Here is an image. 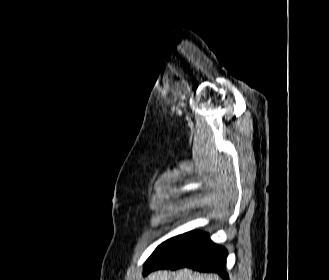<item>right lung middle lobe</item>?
Here are the masks:
<instances>
[{"label":"right lung middle lobe","mask_w":329,"mask_h":280,"mask_svg":"<svg viewBox=\"0 0 329 280\" xmlns=\"http://www.w3.org/2000/svg\"><path fill=\"white\" fill-rule=\"evenodd\" d=\"M178 238V236L173 237L171 239H168L167 241L163 242L160 244L155 251L152 253V255L148 258L146 264H145V269H144V274L146 273L147 270H149L152 266L158 263L162 255L168 250V248L171 246V244Z\"/></svg>","instance_id":"dd1d6c3e"}]
</instances>
